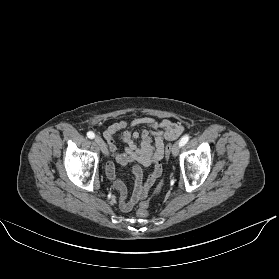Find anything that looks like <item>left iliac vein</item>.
I'll list each match as a JSON object with an SVG mask.
<instances>
[{"label": "left iliac vein", "instance_id": "4c4485c4", "mask_svg": "<svg viewBox=\"0 0 279 279\" xmlns=\"http://www.w3.org/2000/svg\"><path fill=\"white\" fill-rule=\"evenodd\" d=\"M180 144L178 142L174 143V145L172 146V155L174 157H176L179 153V150H180Z\"/></svg>", "mask_w": 279, "mask_h": 279}]
</instances>
